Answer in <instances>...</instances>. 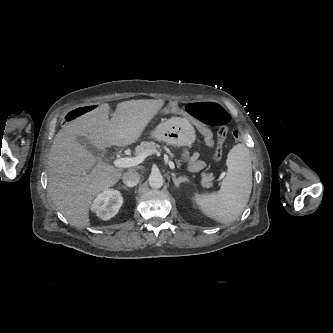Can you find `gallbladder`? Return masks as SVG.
I'll use <instances>...</instances> for the list:
<instances>
[{
  "label": "gallbladder",
  "instance_id": "1",
  "mask_svg": "<svg viewBox=\"0 0 333 333\" xmlns=\"http://www.w3.org/2000/svg\"><path fill=\"white\" fill-rule=\"evenodd\" d=\"M76 139L82 147L91 152L97 159L103 160L106 158V151L95 147L88 138L84 136H77Z\"/></svg>",
  "mask_w": 333,
  "mask_h": 333
}]
</instances>
